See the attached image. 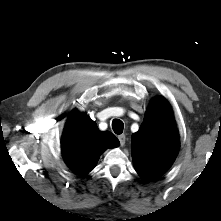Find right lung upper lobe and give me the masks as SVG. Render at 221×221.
Here are the masks:
<instances>
[{
	"instance_id": "cb5924a9",
	"label": "right lung upper lobe",
	"mask_w": 221,
	"mask_h": 221,
	"mask_svg": "<svg viewBox=\"0 0 221 221\" xmlns=\"http://www.w3.org/2000/svg\"><path fill=\"white\" fill-rule=\"evenodd\" d=\"M119 144L111 132L100 131L89 116L74 110L65 126L61 148L69 168L85 175L95 167L103 151Z\"/></svg>"
}]
</instances>
